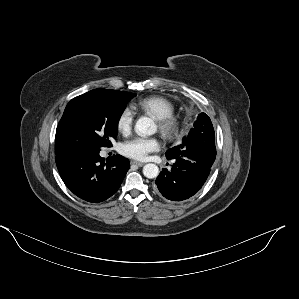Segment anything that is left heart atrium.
<instances>
[{"label": "left heart atrium", "mask_w": 299, "mask_h": 299, "mask_svg": "<svg viewBox=\"0 0 299 299\" xmlns=\"http://www.w3.org/2000/svg\"><path fill=\"white\" fill-rule=\"evenodd\" d=\"M160 142L157 138L135 137L125 141L120 146V152L135 160H144L148 154L159 150Z\"/></svg>", "instance_id": "left-heart-atrium-1"}]
</instances>
